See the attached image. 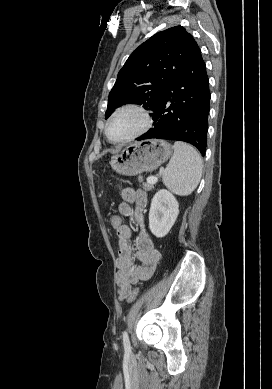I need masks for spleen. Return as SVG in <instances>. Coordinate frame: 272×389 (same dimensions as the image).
<instances>
[{
  "instance_id": "obj_1",
  "label": "spleen",
  "mask_w": 272,
  "mask_h": 389,
  "mask_svg": "<svg viewBox=\"0 0 272 389\" xmlns=\"http://www.w3.org/2000/svg\"><path fill=\"white\" fill-rule=\"evenodd\" d=\"M202 167V158L196 149L177 141L174 143V154L163 173V183L177 195H190L200 182Z\"/></svg>"
}]
</instances>
